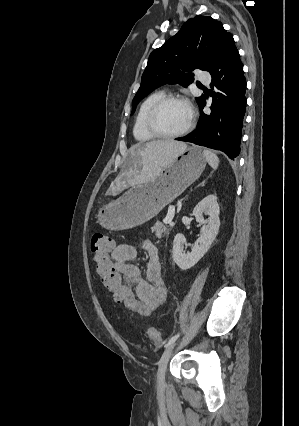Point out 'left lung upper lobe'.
<instances>
[{
	"instance_id": "obj_1",
	"label": "left lung upper lobe",
	"mask_w": 299,
	"mask_h": 426,
	"mask_svg": "<svg viewBox=\"0 0 299 426\" xmlns=\"http://www.w3.org/2000/svg\"><path fill=\"white\" fill-rule=\"evenodd\" d=\"M235 50L234 39L221 22L203 16L189 19L176 35L150 54L132 101V114L139 101L155 88L166 83L186 87L194 80L193 70L211 72ZM202 98H196L198 103Z\"/></svg>"
}]
</instances>
